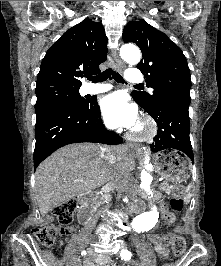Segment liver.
<instances>
[{
	"instance_id": "1",
	"label": "liver",
	"mask_w": 221,
	"mask_h": 266,
	"mask_svg": "<svg viewBox=\"0 0 221 266\" xmlns=\"http://www.w3.org/2000/svg\"><path fill=\"white\" fill-rule=\"evenodd\" d=\"M111 149L116 155L113 165L102 157L101 146L91 143L67 145L41 163L35 173L41 215L44 217L59 204L101 187L112 173L127 176L135 166L129 149L124 146Z\"/></svg>"
}]
</instances>
